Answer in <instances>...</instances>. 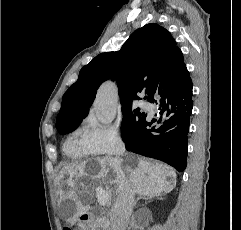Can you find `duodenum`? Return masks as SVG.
I'll use <instances>...</instances> for the list:
<instances>
[{"label":"duodenum","instance_id":"obj_1","mask_svg":"<svg viewBox=\"0 0 241 230\" xmlns=\"http://www.w3.org/2000/svg\"><path fill=\"white\" fill-rule=\"evenodd\" d=\"M92 219H93V217L91 215L84 213L80 218V223L82 225H87L91 222Z\"/></svg>","mask_w":241,"mask_h":230}]
</instances>
